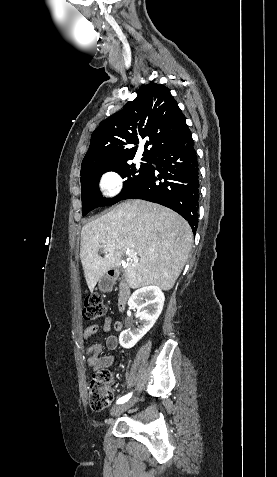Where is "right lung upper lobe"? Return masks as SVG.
I'll return each instance as SVG.
<instances>
[{"label": "right lung upper lobe", "instance_id": "cb5924a9", "mask_svg": "<svg viewBox=\"0 0 277 477\" xmlns=\"http://www.w3.org/2000/svg\"><path fill=\"white\" fill-rule=\"evenodd\" d=\"M138 96L126 107L103 120L91 136L89 149L81 170L90 167H109L128 163L138 144L148 138L143 160L177 142L189 131L186 118L170 90L162 84L142 86Z\"/></svg>", "mask_w": 277, "mask_h": 477}]
</instances>
